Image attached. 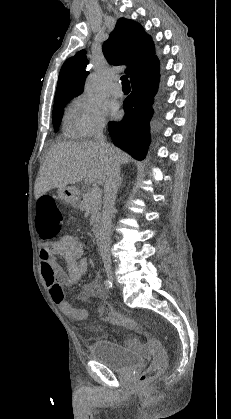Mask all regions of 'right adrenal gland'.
Wrapping results in <instances>:
<instances>
[{
  "label": "right adrenal gland",
  "mask_w": 231,
  "mask_h": 419,
  "mask_svg": "<svg viewBox=\"0 0 231 419\" xmlns=\"http://www.w3.org/2000/svg\"><path fill=\"white\" fill-rule=\"evenodd\" d=\"M120 184H122V178H121V180H120Z\"/></svg>",
  "instance_id": "right-adrenal-gland-1"
}]
</instances>
